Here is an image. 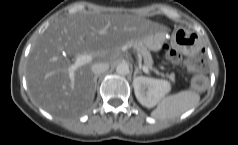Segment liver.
<instances>
[{
    "instance_id": "liver-1",
    "label": "liver",
    "mask_w": 238,
    "mask_h": 145,
    "mask_svg": "<svg viewBox=\"0 0 238 145\" xmlns=\"http://www.w3.org/2000/svg\"><path fill=\"white\" fill-rule=\"evenodd\" d=\"M165 27L140 16L78 11L56 19L41 35L28 56L26 79L33 99L56 117L87 112L95 96L91 67L112 63L120 47L143 40ZM88 53L94 58L74 72L71 87L69 56Z\"/></svg>"
}]
</instances>
